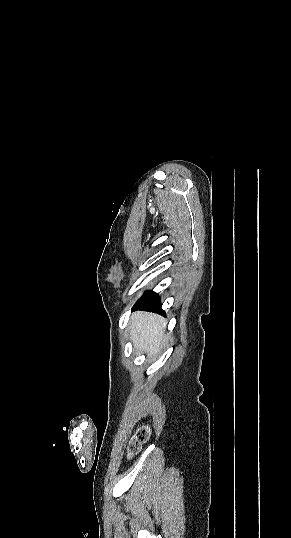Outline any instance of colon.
I'll return each instance as SVG.
<instances>
[{"instance_id":"colon-1","label":"colon","mask_w":291,"mask_h":538,"mask_svg":"<svg viewBox=\"0 0 291 538\" xmlns=\"http://www.w3.org/2000/svg\"><path fill=\"white\" fill-rule=\"evenodd\" d=\"M150 431L147 427H141L136 432L134 438L131 441L130 453L134 454L138 452L141 446L148 440Z\"/></svg>"}]
</instances>
